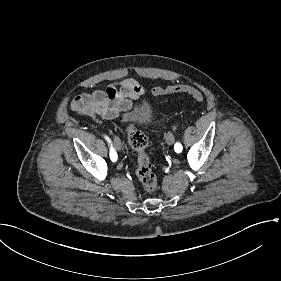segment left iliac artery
<instances>
[{"label":"left iliac artery","instance_id":"44dca946","mask_svg":"<svg viewBox=\"0 0 281 281\" xmlns=\"http://www.w3.org/2000/svg\"><path fill=\"white\" fill-rule=\"evenodd\" d=\"M174 149L177 153L182 151V145L180 143H176Z\"/></svg>","mask_w":281,"mask_h":281}]
</instances>
